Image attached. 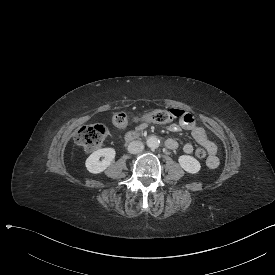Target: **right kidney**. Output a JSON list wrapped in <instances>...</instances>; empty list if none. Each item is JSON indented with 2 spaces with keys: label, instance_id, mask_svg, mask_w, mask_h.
Here are the masks:
<instances>
[{
  "label": "right kidney",
  "instance_id": "1",
  "mask_svg": "<svg viewBox=\"0 0 275 275\" xmlns=\"http://www.w3.org/2000/svg\"><path fill=\"white\" fill-rule=\"evenodd\" d=\"M116 151L114 148H101L93 152L85 161V166L90 173L99 174L104 172L115 162ZM104 157L103 161L100 158Z\"/></svg>",
  "mask_w": 275,
  "mask_h": 275
}]
</instances>
